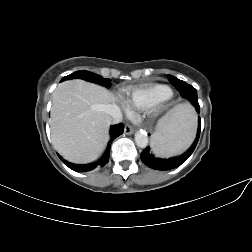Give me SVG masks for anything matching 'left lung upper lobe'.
Listing matches in <instances>:
<instances>
[{"mask_svg": "<svg viewBox=\"0 0 252 252\" xmlns=\"http://www.w3.org/2000/svg\"><path fill=\"white\" fill-rule=\"evenodd\" d=\"M168 79H169V81H170V83L172 85H174L175 83H178V82L182 81V80H179L178 78H176V77H174L172 75H168Z\"/></svg>", "mask_w": 252, "mask_h": 252, "instance_id": "left-lung-upper-lobe-1", "label": "left lung upper lobe"}]
</instances>
